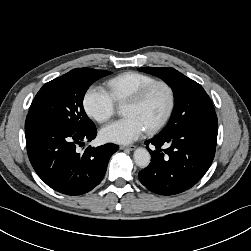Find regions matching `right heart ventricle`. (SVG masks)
Here are the masks:
<instances>
[{"instance_id":"1","label":"right heart ventricle","mask_w":251,"mask_h":251,"mask_svg":"<svg viewBox=\"0 0 251 251\" xmlns=\"http://www.w3.org/2000/svg\"><path fill=\"white\" fill-rule=\"evenodd\" d=\"M156 81L153 76L136 71L121 73L107 81L109 93L116 103H125L144 86Z\"/></svg>"}]
</instances>
